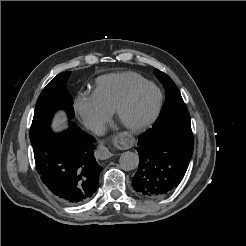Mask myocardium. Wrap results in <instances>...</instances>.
Segmentation results:
<instances>
[{"mask_svg": "<svg viewBox=\"0 0 246 246\" xmlns=\"http://www.w3.org/2000/svg\"><path fill=\"white\" fill-rule=\"evenodd\" d=\"M145 89H153L156 93L155 101L149 115L141 122L136 124L127 123L123 120V113L134 98ZM163 101L161 89L153 82L147 81L130 90L118 103L114 112L117 121L130 132H141L149 128L159 115Z\"/></svg>", "mask_w": 246, "mask_h": 246, "instance_id": "1", "label": "myocardium"}]
</instances>
